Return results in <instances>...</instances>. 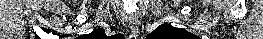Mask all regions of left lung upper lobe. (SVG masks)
Listing matches in <instances>:
<instances>
[{
	"label": "left lung upper lobe",
	"mask_w": 263,
	"mask_h": 39,
	"mask_svg": "<svg viewBox=\"0 0 263 39\" xmlns=\"http://www.w3.org/2000/svg\"><path fill=\"white\" fill-rule=\"evenodd\" d=\"M147 39H199V37L184 29L164 23L151 32Z\"/></svg>",
	"instance_id": "obj_1"
}]
</instances>
